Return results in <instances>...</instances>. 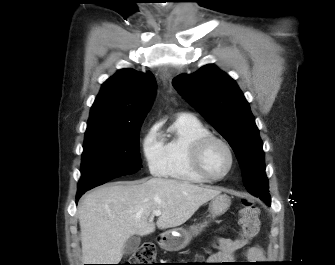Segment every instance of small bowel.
Segmentation results:
<instances>
[{
	"label": "small bowel",
	"mask_w": 335,
	"mask_h": 265,
	"mask_svg": "<svg viewBox=\"0 0 335 265\" xmlns=\"http://www.w3.org/2000/svg\"><path fill=\"white\" fill-rule=\"evenodd\" d=\"M245 245L246 241L240 237L235 239L216 237L212 243L216 252L209 257V261L212 262L211 264H223L233 261L235 254ZM244 257L248 261L256 263L264 259V253L260 246L253 245L244 251Z\"/></svg>",
	"instance_id": "small-bowel-1"
}]
</instances>
